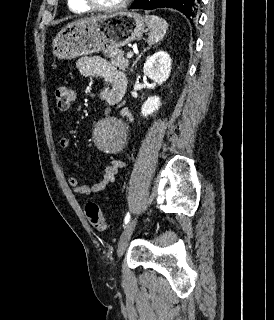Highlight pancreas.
Segmentation results:
<instances>
[{
  "label": "pancreas",
  "mask_w": 274,
  "mask_h": 320,
  "mask_svg": "<svg viewBox=\"0 0 274 320\" xmlns=\"http://www.w3.org/2000/svg\"><path fill=\"white\" fill-rule=\"evenodd\" d=\"M104 54L106 58H110L111 64L119 68V70H123L126 72L129 68L130 60L124 58L123 50H118V48H108V50H104Z\"/></svg>",
  "instance_id": "pancreas-1"
}]
</instances>
